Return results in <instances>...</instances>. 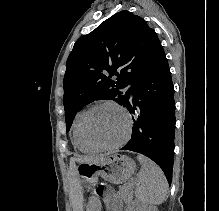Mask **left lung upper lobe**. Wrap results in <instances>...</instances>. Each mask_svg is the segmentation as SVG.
Masks as SVG:
<instances>
[{"instance_id":"left-lung-upper-lobe-1","label":"left lung upper lobe","mask_w":219,"mask_h":211,"mask_svg":"<svg viewBox=\"0 0 219 211\" xmlns=\"http://www.w3.org/2000/svg\"><path fill=\"white\" fill-rule=\"evenodd\" d=\"M164 54L155 31L146 21L123 10L79 38L67 59L64 76L65 121L69 131L85 105L111 99L124 105L132 87ZM117 76L112 79V76Z\"/></svg>"}]
</instances>
